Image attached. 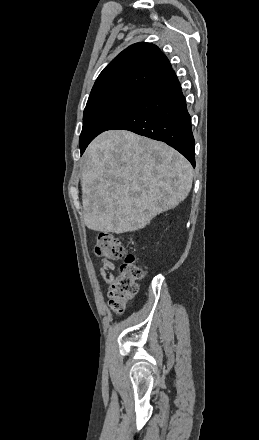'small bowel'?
<instances>
[{"instance_id": "small-bowel-1", "label": "small bowel", "mask_w": 259, "mask_h": 440, "mask_svg": "<svg viewBox=\"0 0 259 440\" xmlns=\"http://www.w3.org/2000/svg\"><path fill=\"white\" fill-rule=\"evenodd\" d=\"M115 268V265L109 260H102L101 266L98 271L99 274L109 283L112 282L114 276L112 274V270Z\"/></svg>"}]
</instances>
